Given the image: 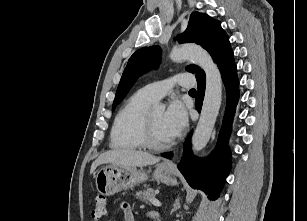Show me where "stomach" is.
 <instances>
[{
    "label": "stomach",
    "instance_id": "stomach-1",
    "mask_svg": "<svg viewBox=\"0 0 307 221\" xmlns=\"http://www.w3.org/2000/svg\"><path fill=\"white\" fill-rule=\"evenodd\" d=\"M154 179L168 185H175V171L167 162L156 166L153 173ZM98 192L104 196L113 195L123 189L133 187L137 183L147 180V173L141 168L118 166L109 164L98 170L95 175Z\"/></svg>",
    "mask_w": 307,
    "mask_h": 221
}]
</instances>
